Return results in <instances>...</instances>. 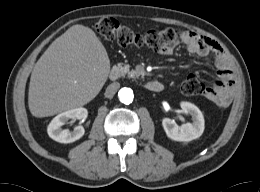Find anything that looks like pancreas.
<instances>
[{
  "instance_id": "obj_1",
  "label": "pancreas",
  "mask_w": 260,
  "mask_h": 192,
  "mask_svg": "<svg viewBox=\"0 0 260 192\" xmlns=\"http://www.w3.org/2000/svg\"><path fill=\"white\" fill-rule=\"evenodd\" d=\"M118 67L120 68L122 76H125L126 74L130 77H135L140 75L139 72L135 70H130L129 65L118 64Z\"/></svg>"
}]
</instances>
